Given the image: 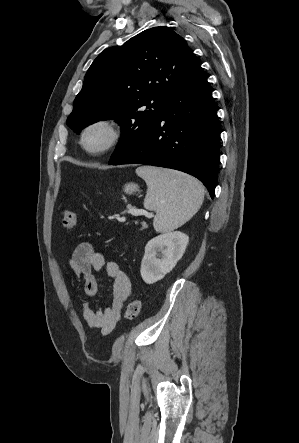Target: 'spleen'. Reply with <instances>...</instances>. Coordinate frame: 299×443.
Instances as JSON below:
<instances>
[{"label":"spleen","instance_id":"1","mask_svg":"<svg viewBox=\"0 0 299 443\" xmlns=\"http://www.w3.org/2000/svg\"><path fill=\"white\" fill-rule=\"evenodd\" d=\"M147 184L144 207L154 210L157 232H169L190 220L204 199V188L195 178L174 170L142 166L136 169Z\"/></svg>","mask_w":299,"mask_h":443}]
</instances>
